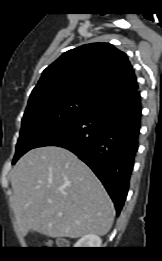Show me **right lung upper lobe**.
<instances>
[{"label": "right lung upper lobe", "mask_w": 162, "mask_h": 261, "mask_svg": "<svg viewBox=\"0 0 162 261\" xmlns=\"http://www.w3.org/2000/svg\"><path fill=\"white\" fill-rule=\"evenodd\" d=\"M138 89L127 55L109 43H91L65 52L49 65L29 100L79 93L98 102Z\"/></svg>", "instance_id": "obj_1"}]
</instances>
